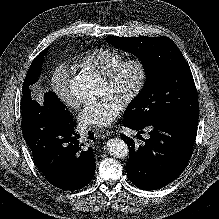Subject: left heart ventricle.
<instances>
[{
    "instance_id": "obj_1",
    "label": "left heart ventricle",
    "mask_w": 219,
    "mask_h": 219,
    "mask_svg": "<svg viewBox=\"0 0 219 219\" xmlns=\"http://www.w3.org/2000/svg\"><path fill=\"white\" fill-rule=\"evenodd\" d=\"M137 74V69L134 66H128L120 73L113 85L108 86L101 81L99 96L110 95L121 103L132 90L137 79Z\"/></svg>"
}]
</instances>
